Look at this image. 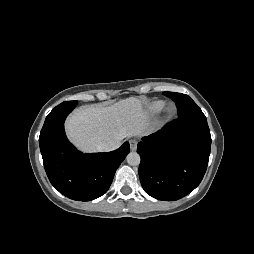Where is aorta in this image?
Instances as JSON below:
<instances>
[{
  "instance_id": "aorta-1",
  "label": "aorta",
  "mask_w": 254,
  "mask_h": 254,
  "mask_svg": "<svg viewBox=\"0 0 254 254\" xmlns=\"http://www.w3.org/2000/svg\"><path fill=\"white\" fill-rule=\"evenodd\" d=\"M127 163L131 166H137L140 164V155L137 152H130L126 157Z\"/></svg>"
}]
</instances>
